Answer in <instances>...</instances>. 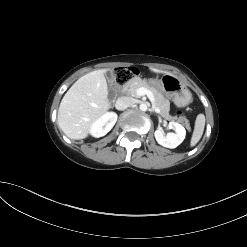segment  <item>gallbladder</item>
<instances>
[{"label": "gallbladder", "mask_w": 247, "mask_h": 247, "mask_svg": "<svg viewBox=\"0 0 247 247\" xmlns=\"http://www.w3.org/2000/svg\"><path fill=\"white\" fill-rule=\"evenodd\" d=\"M104 75H105V78L107 79L109 85L112 86L113 80H114V73L111 70H108L105 72Z\"/></svg>", "instance_id": "bac80fb5"}]
</instances>
